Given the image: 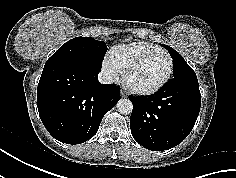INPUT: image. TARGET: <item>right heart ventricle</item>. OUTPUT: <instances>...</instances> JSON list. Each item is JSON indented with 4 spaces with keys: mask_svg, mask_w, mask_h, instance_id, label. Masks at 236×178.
I'll use <instances>...</instances> for the list:
<instances>
[{
    "mask_svg": "<svg viewBox=\"0 0 236 178\" xmlns=\"http://www.w3.org/2000/svg\"><path fill=\"white\" fill-rule=\"evenodd\" d=\"M161 50L160 47L147 42H133L114 47L110 51L109 59L119 72L123 73L126 67L137 58Z\"/></svg>",
    "mask_w": 236,
    "mask_h": 178,
    "instance_id": "1",
    "label": "right heart ventricle"
}]
</instances>
